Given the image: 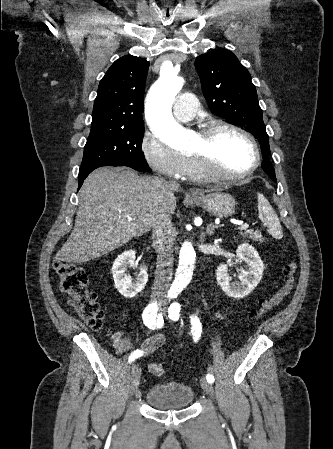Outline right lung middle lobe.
<instances>
[{"label":"right lung middle lobe","mask_w":333,"mask_h":449,"mask_svg":"<svg viewBox=\"0 0 333 449\" xmlns=\"http://www.w3.org/2000/svg\"><path fill=\"white\" fill-rule=\"evenodd\" d=\"M143 125L91 129L84 147L83 166L148 167L142 149Z\"/></svg>","instance_id":"obj_1"}]
</instances>
